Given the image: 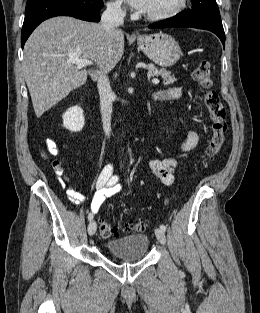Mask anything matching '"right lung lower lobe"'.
<instances>
[{"label":"right lung lower lobe","mask_w":260,"mask_h":313,"mask_svg":"<svg viewBox=\"0 0 260 313\" xmlns=\"http://www.w3.org/2000/svg\"><path fill=\"white\" fill-rule=\"evenodd\" d=\"M102 0H27L21 32L22 48L33 30L44 20L55 16H72L98 22Z\"/></svg>","instance_id":"obj_1"}]
</instances>
